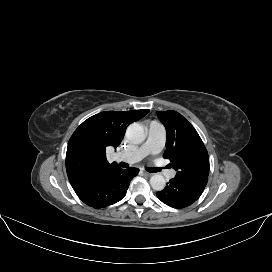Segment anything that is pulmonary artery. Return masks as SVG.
Instances as JSON below:
<instances>
[{
  "label": "pulmonary artery",
  "mask_w": 272,
  "mask_h": 272,
  "mask_svg": "<svg viewBox=\"0 0 272 272\" xmlns=\"http://www.w3.org/2000/svg\"><path fill=\"white\" fill-rule=\"evenodd\" d=\"M147 129V139L139 148L128 152L116 153L115 158L129 163H136L148 155H156L161 152L166 141L165 129L157 122H150ZM164 175L168 179H172L175 176V170H165Z\"/></svg>",
  "instance_id": "pulmonary-artery-1"
}]
</instances>
